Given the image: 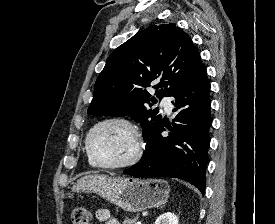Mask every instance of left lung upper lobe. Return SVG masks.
Segmentation results:
<instances>
[{"instance_id": "5c2ea615", "label": "left lung upper lobe", "mask_w": 275, "mask_h": 224, "mask_svg": "<svg viewBox=\"0 0 275 224\" xmlns=\"http://www.w3.org/2000/svg\"><path fill=\"white\" fill-rule=\"evenodd\" d=\"M191 38L173 23L139 31L109 56L95 83L88 114L125 116L139 122L144 138L162 122L147 109L157 100L146 90L154 84L156 97L171 96L203 67Z\"/></svg>"}]
</instances>
